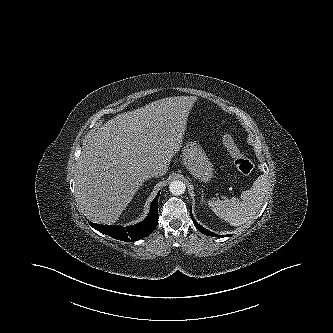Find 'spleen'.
<instances>
[{
    "mask_svg": "<svg viewBox=\"0 0 333 333\" xmlns=\"http://www.w3.org/2000/svg\"><path fill=\"white\" fill-rule=\"evenodd\" d=\"M269 188L270 183L267 177L261 175L254 181L250 190L242 192L240 200L225 198L210 200L208 204L217 216L229 222L230 225L241 226L256 215Z\"/></svg>",
    "mask_w": 333,
    "mask_h": 333,
    "instance_id": "obj_1",
    "label": "spleen"
}]
</instances>
